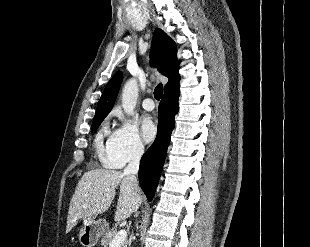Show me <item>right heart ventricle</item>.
Masks as SVG:
<instances>
[{"instance_id":"e07e8e85","label":"right heart ventricle","mask_w":310,"mask_h":247,"mask_svg":"<svg viewBox=\"0 0 310 247\" xmlns=\"http://www.w3.org/2000/svg\"><path fill=\"white\" fill-rule=\"evenodd\" d=\"M106 132H107V126H104L96 135L95 137V141H94V145H95V149L96 151L100 154V155H104L107 149V145H108V141L109 139H107V141H105V137H106Z\"/></svg>"}]
</instances>
